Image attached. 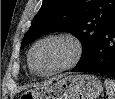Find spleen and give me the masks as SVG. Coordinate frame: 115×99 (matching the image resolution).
Masks as SVG:
<instances>
[{
	"label": "spleen",
	"instance_id": "3e777b00",
	"mask_svg": "<svg viewBox=\"0 0 115 99\" xmlns=\"http://www.w3.org/2000/svg\"><path fill=\"white\" fill-rule=\"evenodd\" d=\"M104 83L109 99H115V80L107 78Z\"/></svg>",
	"mask_w": 115,
	"mask_h": 99
}]
</instances>
